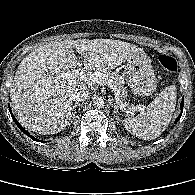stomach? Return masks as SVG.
I'll use <instances>...</instances> for the list:
<instances>
[{"label": "stomach", "instance_id": "1", "mask_svg": "<svg viewBox=\"0 0 195 195\" xmlns=\"http://www.w3.org/2000/svg\"><path fill=\"white\" fill-rule=\"evenodd\" d=\"M124 78L133 94L138 96H149L157 87L151 59L146 54L137 55L127 61L124 67Z\"/></svg>", "mask_w": 195, "mask_h": 195}]
</instances>
